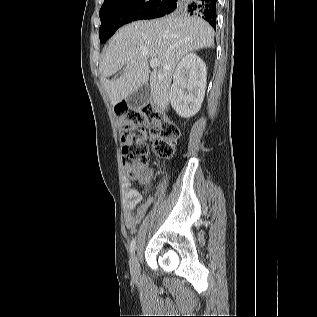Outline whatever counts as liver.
Returning <instances> with one entry per match:
<instances>
[{
	"instance_id": "6515ba94",
	"label": "liver",
	"mask_w": 317,
	"mask_h": 317,
	"mask_svg": "<svg viewBox=\"0 0 317 317\" xmlns=\"http://www.w3.org/2000/svg\"><path fill=\"white\" fill-rule=\"evenodd\" d=\"M214 47V30L197 16L171 14L137 21L120 28L111 38L99 66L101 80L113 106L149 81L151 97L160 110H168L172 75L189 52ZM149 59L160 64L151 72ZM120 75L109 79L117 71Z\"/></svg>"
}]
</instances>
